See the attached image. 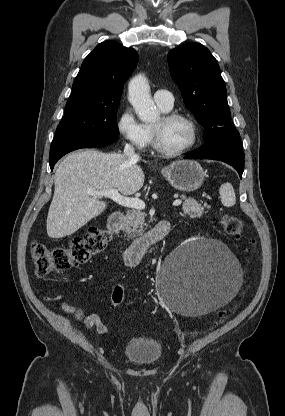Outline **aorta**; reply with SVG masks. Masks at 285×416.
<instances>
[{
	"label": "aorta",
	"instance_id": "762f6f07",
	"mask_svg": "<svg viewBox=\"0 0 285 416\" xmlns=\"http://www.w3.org/2000/svg\"><path fill=\"white\" fill-rule=\"evenodd\" d=\"M129 101L139 119L143 122L155 121L159 113L151 98L147 78L143 74L136 75L128 86Z\"/></svg>",
	"mask_w": 285,
	"mask_h": 416
}]
</instances>
